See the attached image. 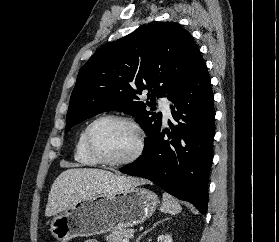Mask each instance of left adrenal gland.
Instances as JSON below:
<instances>
[{"label": "left adrenal gland", "mask_w": 279, "mask_h": 242, "mask_svg": "<svg viewBox=\"0 0 279 242\" xmlns=\"http://www.w3.org/2000/svg\"><path fill=\"white\" fill-rule=\"evenodd\" d=\"M167 219H164V220H161V221H158L157 223H155L150 229H147L146 231H144L137 239L135 242H139L140 239L146 234L148 233L149 231H151L152 229H154L158 224L162 223L163 221H166Z\"/></svg>", "instance_id": "left-adrenal-gland-1"}]
</instances>
